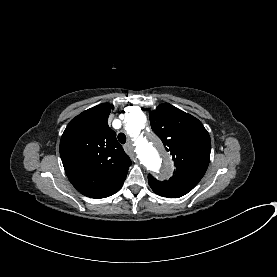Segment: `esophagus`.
<instances>
[{"label":"esophagus","instance_id":"1","mask_svg":"<svg viewBox=\"0 0 277 277\" xmlns=\"http://www.w3.org/2000/svg\"><path fill=\"white\" fill-rule=\"evenodd\" d=\"M128 147H131V141H129V140H128L127 143L124 145V148H128ZM133 160H134L135 162H138V160H137L136 157H134Z\"/></svg>","mask_w":277,"mask_h":277}]
</instances>
